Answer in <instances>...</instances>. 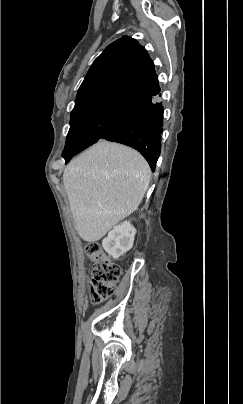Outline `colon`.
<instances>
[{
  "label": "colon",
  "mask_w": 243,
  "mask_h": 404,
  "mask_svg": "<svg viewBox=\"0 0 243 404\" xmlns=\"http://www.w3.org/2000/svg\"><path fill=\"white\" fill-rule=\"evenodd\" d=\"M85 250L92 261L90 299L98 304L114 293L121 271L119 265L106 257L98 243L87 244Z\"/></svg>",
  "instance_id": "colon-1"
}]
</instances>
